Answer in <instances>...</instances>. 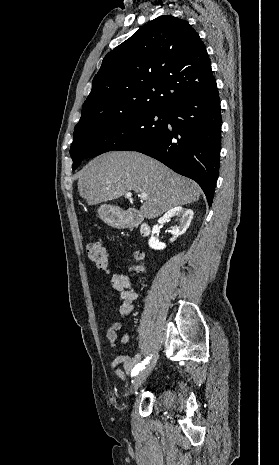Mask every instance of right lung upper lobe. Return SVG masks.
<instances>
[{
    "label": "right lung upper lobe",
    "mask_w": 279,
    "mask_h": 465,
    "mask_svg": "<svg viewBox=\"0 0 279 465\" xmlns=\"http://www.w3.org/2000/svg\"><path fill=\"white\" fill-rule=\"evenodd\" d=\"M213 79L198 33L185 20L159 16L104 57L75 127L101 125L140 110H166Z\"/></svg>",
    "instance_id": "obj_1"
}]
</instances>
